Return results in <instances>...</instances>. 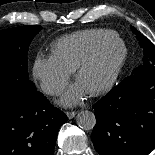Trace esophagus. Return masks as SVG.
Returning <instances> with one entry per match:
<instances>
[{"mask_svg":"<svg viewBox=\"0 0 155 155\" xmlns=\"http://www.w3.org/2000/svg\"><path fill=\"white\" fill-rule=\"evenodd\" d=\"M76 112L75 111H68L67 113H66V115H67V117L69 118V119H73L75 116H76Z\"/></svg>","mask_w":155,"mask_h":155,"instance_id":"obj_1","label":"esophagus"}]
</instances>
